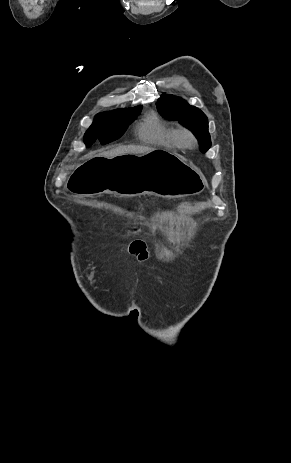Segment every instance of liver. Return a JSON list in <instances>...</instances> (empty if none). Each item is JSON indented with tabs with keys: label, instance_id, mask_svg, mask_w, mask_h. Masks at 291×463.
Wrapping results in <instances>:
<instances>
[{
	"label": "liver",
	"instance_id": "6515ba94",
	"mask_svg": "<svg viewBox=\"0 0 291 463\" xmlns=\"http://www.w3.org/2000/svg\"><path fill=\"white\" fill-rule=\"evenodd\" d=\"M153 150H154L153 148L147 147V146L128 145V146H119L115 149L102 152L98 154V156L102 158L111 159V158L126 155V154H145Z\"/></svg>",
	"mask_w": 291,
	"mask_h": 463
}]
</instances>
